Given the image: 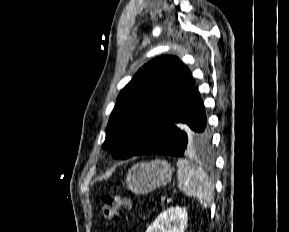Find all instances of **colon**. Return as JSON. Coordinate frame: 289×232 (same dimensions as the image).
<instances>
[{
    "instance_id": "obj_1",
    "label": "colon",
    "mask_w": 289,
    "mask_h": 232,
    "mask_svg": "<svg viewBox=\"0 0 289 232\" xmlns=\"http://www.w3.org/2000/svg\"><path fill=\"white\" fill-rule=\"evenodd\" d=\"M101 204L104 217L109 221H113L116 218L119 209H131V203L128 199L109 194L102 195Z\"/></svg>"
}]
</instances>
